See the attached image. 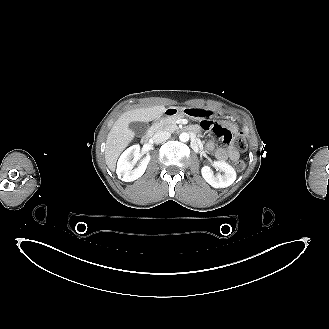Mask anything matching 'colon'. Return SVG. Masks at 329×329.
I'll return each instance as SVG.
<instances>
[{
    "label": "colon",
    "instance_id": "colon-1",
    "mask_svg": "<svg viewBox=\"0 0 329 329\" xmlns=\"http://www.w3.org/2000/svg\"><path fill=\"white\" fill-rule=\"evenodd\" d=\"M232 143L235 148L242 150V151L245 150L247 147V141H246L245 137L240 134L236 135L233 138ZM233 166L237 171H242L245 167V164L242 160H234Z\"/></svg>",
    "mask_w": 329,
    "mask_h": 329
}]
</instances>
